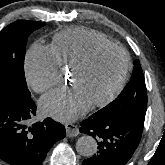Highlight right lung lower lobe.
<instances>
[{"instance_id": "obj_1", "label": "right lung lower lobe", "mask_w": 165, "mask_h": 165, "mask_svg": "<svg viewBox=\"0 0 165 165\" xmlns=\"http://www.w3.org/2000/svg\"><path fill=\"white\" fill-rule=\"evenodd\" d=\"M36 106L30 95L0 88V159L10 165H40L65 127L51 118L32 123Z\"/></svg>"}]
</instances>
